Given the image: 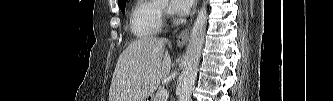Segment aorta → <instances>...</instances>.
Segmentation results:
<instances>
[{
  "label": "aorta",
  "mask_w": 333,
  "mask_h": 101,
  "mask_svg": "<svg viewBox=\"0 0 333 101\" xmlns=\"http://www.w3.org/2000/svg\"><path fill=\"white\" fill-rule=\"evenodd\" d=\"M207 24L205 4L198 12L184 57V71L179 101H189L195 84Z\"/></svg>",
  "instance_id": "aorta-1"
}]
</instances>
